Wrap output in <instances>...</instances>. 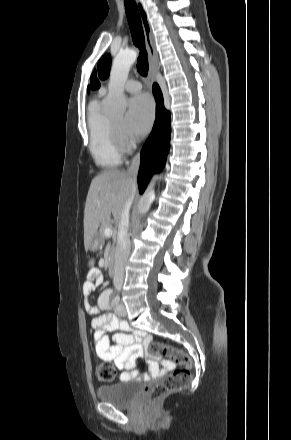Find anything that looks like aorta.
I'll list each match as a JSON object with an SVG mask.
<instances>
[{
    "instance_id": "762f6f07",
    "label": "aorta",
    "mask_w": 291,
    "mask_h": 440,
    "mask_svg": "<svg viewBox=\"0 0 291 440\" xmlns=\"http://www.w3.org/2000/svg\"><path fill=\"white\" fill-rule=\"evenodd\" d=\"M137 59V52L133 49L120 51L113 60L108 85V95L104 101V110L110 116H122L126 110L124 85L129 70ZM153 193L147 192L141 199L139 212L146 213L153 200Z\"/></svg>"
}]
</instances>
